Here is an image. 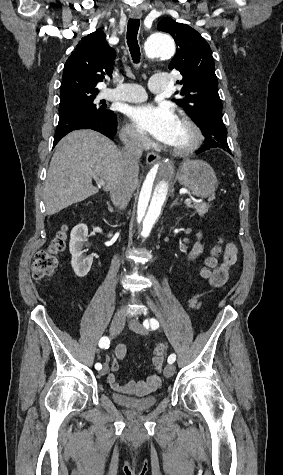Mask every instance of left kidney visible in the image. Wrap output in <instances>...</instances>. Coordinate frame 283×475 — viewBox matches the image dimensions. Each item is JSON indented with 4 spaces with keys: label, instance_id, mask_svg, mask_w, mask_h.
Instances as JSON below:
<instances>
[{
    "label": "left kidney",
    "instance_id": "5707ae66",
    "mask_svg": "<svg viewBox=\"0 0 283 475\" xmlns=\"http://www.w3.org/2000/svg\"><path fill=\"white\" fill-rule=\"evenodd\" d=\"M197 238L198 239H201L202 238V234H196ZM203 251V245H201L200 241H196V243H194L190 253H188V259H195V257H197V255H199V253H202Z\"/></svg>",
    "mask_w": 283,
    "mask_h": 475
}]
</instances>
